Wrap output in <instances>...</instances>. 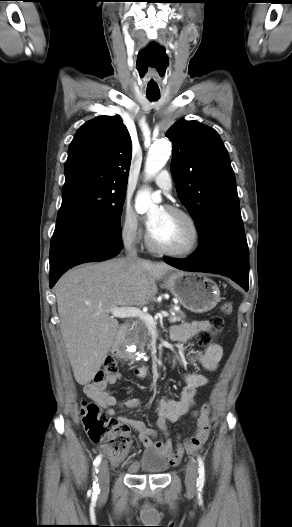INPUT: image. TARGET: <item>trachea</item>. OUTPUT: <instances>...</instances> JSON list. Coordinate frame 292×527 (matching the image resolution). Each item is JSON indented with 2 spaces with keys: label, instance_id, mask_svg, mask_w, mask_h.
Returning <instances> with one entry per match:
<instances>
[{
  "label": "trachea",
  "instance_id": "trachea-1",
  "mask_svg": "<svg viewBox=\"0 0 292 527\" xmlns=\"http://www.w3.org/2000/svg\"><path fill=\"white\" fill-rule=\"evenodd\" d=\"M147 98L150 101H157L160 98V95L147 94Z\"/></svg>",
  "mask_w": 292,
  "mask_h": 527
}]
</instances>
